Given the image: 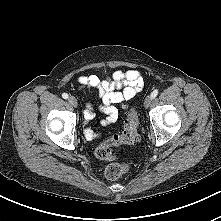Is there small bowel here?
<instances>
[{
    "label": "small bowel",
    "instance_id": "obj_1",
    "mask_svg": "<svg viewBox=\"0 0 221 221\" xmlns=\"http://www.w3.org/2000/svg\"><path fill=\"white\" fill-rule=\"evenodd\" d=\"M80 89L96 90L101 100L99 110L104 114L100 124L107 126L118 118L116 104L132 99L143 87L144 79L137 69L126 71L116 70L109 79H100L96 75H82L77 78ZM95 117L91 106L84 111L85 123H89ZM84 134L87 140H94L101 136L91 127L86 126Z\"/></svg>",
    "mask_w": 221,
    "mask_h": 221
}]
</instances>
